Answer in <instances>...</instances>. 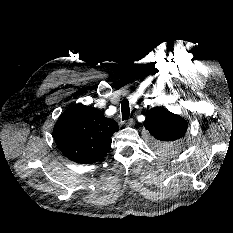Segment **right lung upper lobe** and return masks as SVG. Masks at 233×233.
<instances>
[{
  "label": "right lung upper lobe",
  "mask_w": 233,
  "mask_h": 233,
  "mask_svg": "<svg viewBox=\"0 0 233 233\" xmlns=\"http://www.w3.org/2000/svg\"><path fill=\"white\" fill-rule=\"evenodd\" d=\"M118 124L104 117L96 108L75 105L62 113L53 133L61 152L80 164H92L108 151Z\"/></svg>",
  "instance_id": "right-lung-upper-lobe-1"
}]
</instances>
